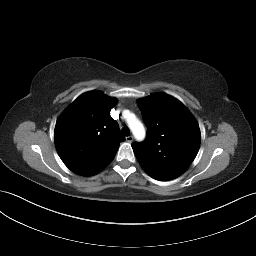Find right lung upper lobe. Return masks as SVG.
I'll return each mask as SVG.
<instances>
[{"mask_svg":"<svg viewBox=\"0 0 256 256\" xmlns=\"http://www.w3.org/2000/svg\"><path fill=\"white\" fill-rule=\"evenodd\" d=\"M117 99L100 91L79 96L59 117L54 131L57 152L74 173L87 176L101 171L125 140L110 116Z\"/></svg>","mask_w":256,"mask_h":256,"instance_id":"obj_1","label":"right lung upper lobe"}]
</instances>
